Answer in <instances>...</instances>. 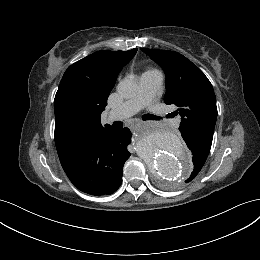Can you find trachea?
Returning <instances> with one entry per match:
<instances>
[{
  "label": "trachea",
  "mask_w": 260,
  "mask_h": 260,
  "mask_svg": "<svg viewBox=\"0 0 260 260\" xmlns=\"http://www.w3.org/2000/svg\"><path fill=\"white\" fill-rule=\"evenodd\" d=\"M167 117L170 118L171 115L168 114ZM144 119H146V120H160L161 117H158V116L152 115V114H147V115L144 116ZM113 127H114L115 129H120V128H122V123L119 122V121H116V122L113 123Z\"/></svg>",
  "instance_id": "3493384b"
}]
</instances>
